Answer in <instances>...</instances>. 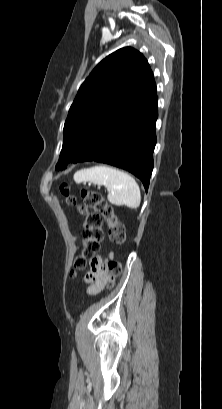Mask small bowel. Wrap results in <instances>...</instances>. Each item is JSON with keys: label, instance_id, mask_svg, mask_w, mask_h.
<instances>
[{"label": "small bowel", "instance_id": "c3829d8e", "mask_svg": "<svg viewBox=\"0 0 222 409\" xmlns=\"http://www.w3.org/2000/svg\"><path fill=\"white\" fill-rule=\"evenodd\" d=\"M112 257V254H110ZM90 271L85 276L88 285L87 294H98L107 285L109 281L108 270L110 269V260H105L104 256L90 257Z\"/></svg>", "mask_w": 222, "mask_h": 409}]
</instances>
